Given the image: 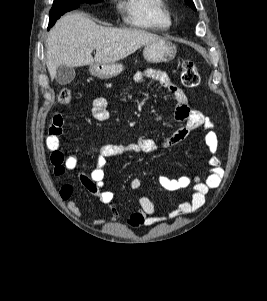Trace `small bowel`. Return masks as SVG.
Segmentation results:
<instances>
[{
	"mask_svg": "<svg viewBox=\"0 0 267 301\" xmlns=\"http://www.w3.org/2000/svg\"><path fill=\"white\" fill-rule=\"evenodd\" d=\"M145 77L157 81L174 96L176 100L175 118L181 123V127L171 137L160 141L140 136L135 142L130 144H105L94 148V151L97 153L95 166L89 174L79 172V183L90 194L97 197L101 203L108 206L109 221L115 222L120 217V213L113 204V192L106 190L104 187L105 173L103 168L106 164V159L123 154L151 153L159 149L170 148L184 140L192 130L201 127L206 130L204 140L211 154L209 159L210 170L205 178L199 176L189 177L186 175L171 178L165 175H159L158 183L167 191H177L188 187H192L193 189L192 195L166 216L160 214L159 209L148 196L140 193L142 188L141 179H132L130 186L133 191L138 193L140 204V209L132 213L129 217V224L132 226H151L197 211L204 205L208 192L220 185L224 175L221 161L217 157L218 137L215 132L214 123L202 112L190 106L187 94L179 86L174 84L165 72L153 70L139 72L135 75V80L140 81ZM91 112L96 120H107L109 118V110L106 97H96L93 101ZM63 124V116L60 113H56L53 116L46 138V146L50 151V161L53 165V171L54 174L59 177L63 176L67 170L73 171L78 166L77 157L74 154L65 155L61 148L60 137L63 133ZM73 190L71 184L64 183L60 186L59 196L63 201L67 202L69 211L73 215L80 217L81 210L72 199ZM97 223L102 224L103 221L98 219Z\"/></svg>",
	"mask_w": 267,
	"mask_h": 301,
	"instance_id": "small-bowel-1",
	"label": "small bowel"
}]
</instances>
